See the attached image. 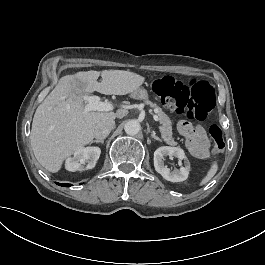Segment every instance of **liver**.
Wrapping results in <instances>:
<instances>
[{"label": "liver", "mask_w": 265, "mask_h": 265, "mask_svg": "<svg viewBox=\"0 0 265 265\" xmlns=\"http://www.w3.org/2000/svg\"><path fill=\"white\" fill-rule=\"evenodd\" d=\"M101 76L102 82L96 80ZM146 77L124 70L78 71L60 77L44 101L37 107L31 127L30 143L37 161L57 173L64 162L82 147L91 145L96 125L114 120L112 111H90L83 116L84 101L79 94L95 91L123 96L140 88ZM67 95L66 99L63 97Z\"/></svg>", "instance_id": "obj_1"}]
</instances>
